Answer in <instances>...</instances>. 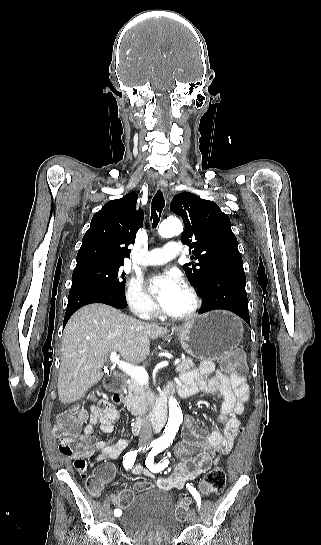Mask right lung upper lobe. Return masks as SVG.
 Returning <instances> with one entry per match:
<instances>
[{
    "mask_svg": "<svg viewBox=\"0 0 321 545\" xmlns=\"http://www.w3.org/2000/svg\"><path fill=\"white\" fill-rule=\"evenodd\" d=\"M138 198L131 192L123 198L107 202L94 214L90 228L82 239L76 268L96 265L124 264L130 257L129 244L135 242L136 232L143 224V211H136Z\"/></svg>",
    "mask_w": 321,
    "mask_h": 545,
    "instance_id": "1",
    "label": "right lung upper lobe"
}]
</instances>
